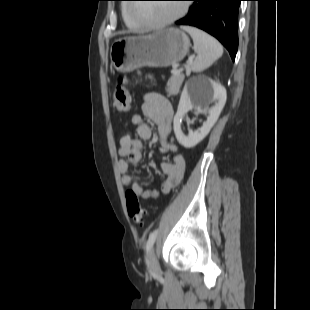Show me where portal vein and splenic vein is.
Here are the masks:
<instances>
[{"mask_svg":"<svg viewBox=\"0 0 310 310\" xmlns=\"http://www.w3.org/2000/svg\"><path fill=\"white\" fill-rule=\"evenodd\" d=\"M191 60H192V59H190V61L188 62V66H189V63L191 62ZM188 66H187V67H188ZM180 72H181V70L175 71V73H180Z\"/></svg>","mask_w":310,"mask_h":310,"instance_id":"portal-vein-and-splenic-vein-1","label":"portal vein and splenic vein"}]
</instances>
